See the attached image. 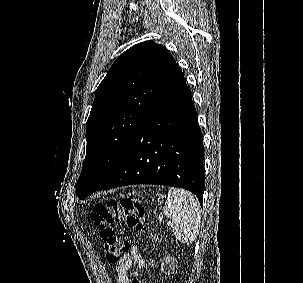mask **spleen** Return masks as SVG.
I'll return each mask as SVG.
<instances>
[{
	"instance_id": "spleen-1",
	"label": "spleen",
	"mask_w": 303,
	"mask_h": 283,
	"mask_svg": "<svg viewBox=\"0 0 303 283\" xmlns=\"http://www.w3.org/2000/svg\"><path fill=\"white\" fill-rule=\"evenodd\" d=\"M164 214L172 220V232L181 243L193 242L201 222L200 205L189 192L170 188Z\"/></svg>"
}]
</instances>
